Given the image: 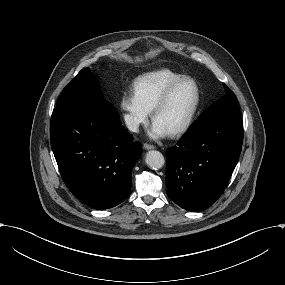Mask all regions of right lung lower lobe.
Listing matches in <instances>:
<instances>
[{"mask_svg": "<svg viewBox=\"0 0 285 285\" xmlns=\"http://www.w3.org/2000/svg\"><path fill=\"white\" fill-rule=\"evenodd\" d=\"M50 141L64 183L85 204L104 210L129 196L141 146L133 142L110 103L56 107Z\"/></svg>", "mask_w": 285, "mask_h": 285, "instance_id": "1", "label": "right lung lower lobe"}]
</instances>
